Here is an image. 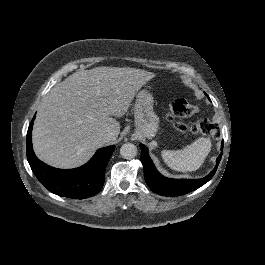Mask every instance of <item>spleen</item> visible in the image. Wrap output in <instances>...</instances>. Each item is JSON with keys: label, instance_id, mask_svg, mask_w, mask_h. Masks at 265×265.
Instances as JSON below:
<instances>
[{"label": "spleen", "instance_id": "obj_1", "mask_svg": "<svg viewBox=\"0 0 265 265\" xmlns=\"http://www.w3.org/2000/svg\"><path fill=\"white\" fill-rule=\"evenodd\" d=\"M211 151V141L208 138H198L182 150H163L164 162L173 170L180 172L196 171Z\"/></svg>", "mask_w": 265, "mask_h": 265}]
</instances>
